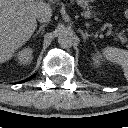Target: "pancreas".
<instances>
[{"mask_svg":"<svg viewBox=\"0 0 128 128\" xmlns=\"http://www.w3.org/2000/svg\"><path fill=\"white\" fill-rule=\"evenodd\" d=\"M76 2H77V4L78 5H80L81 7H83L84 9L85 8H87L88 9V2H89V0H75ZM90 11H86L85 13H84V15L86 16V17H89L90 16Z\"/></svg>","mask_w":128,"mask_h":128,"instance_id":"1","label":"pancreas"}]
</instances>
